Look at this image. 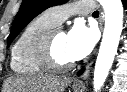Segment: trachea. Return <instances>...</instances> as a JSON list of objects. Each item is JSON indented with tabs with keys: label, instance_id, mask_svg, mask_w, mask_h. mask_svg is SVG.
I'll list each match as a JSON object with an SVG mask.
<instances>
[{
	"label": "trachea",
	"instance_id": "obj_1",
	"mask_svg": "<svg viewBox=\"0 0 127 92\" xmlns=\"http://www.w3.org/2000/svg\"><path fill=\"white\" fill-rule=\"evenodd\" d=\"M92 15H99V11H94Z\"/></svg>",
	"mask_w": 127,
	"mask_h": 92
}]
</instances>
